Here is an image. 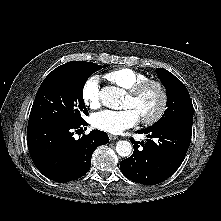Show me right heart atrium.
Segmentation results:
<instances>
[{"mask_svg": "<svg viewBox=\"0 0 221 221\" xmlns=\"http://www.w3.org/2000/svg\"><path fill=\"white\" fill-rule=\"evenodd\" d=\"M97 76L89 77L82 86L81 97L90 109H98L101 105V92Z\"/></svg>", "mask_w": 221, "mask_h": 221, "instance_id": "obj_1", "label": "right heart atrium"}]
</instances>
